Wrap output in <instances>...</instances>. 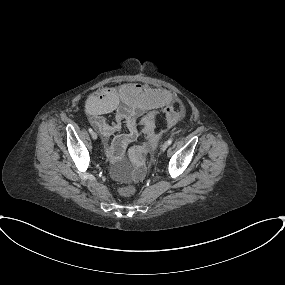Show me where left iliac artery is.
Returning a JSON list of instances; mask_svg holds the SVG:
<instances>
[{
	"instance_id": "44dca946",
	"label": "left iliac artery",
	"mask_w": 285,
	"mask_h": 285,
	"mask_svg": "<svg viewBox=\"0 0 285 285\" xmlns=\"http://www.w3.org/2000/svg\"><path fill=\"white\" fill-rule=\"evenodd\" d=\"M167 142H168V144L170 145V144L173 142V139L170 138Z\"/></svg>"
}]
</instances>
